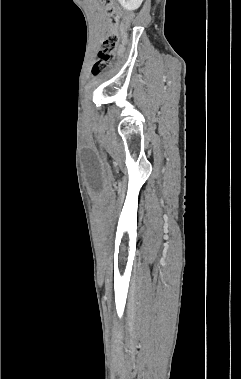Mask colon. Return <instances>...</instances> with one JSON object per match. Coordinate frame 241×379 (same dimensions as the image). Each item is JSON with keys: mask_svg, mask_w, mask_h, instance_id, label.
I'll return each mask as SVG.
<instances>
[{"mask_svg": "<svg viewBox=\"0 0 241 379\" xmlns=\"http://www.w3.org/2000/svg\"><path fill=\"white\" fill-rule=\"evenodd\" d=\"M105 6V11L112 23L123 21L127 30L133 29L132 20L135 19V14L131 13V9H117L114 0H101ZM120 43V33L117 30L111 31L103 40L101 48L98 52L97 61L93 67L94 74H99L104 71L114 60L117 47Z\"/></svg>", "mask_w": 241, "mask_h": 379, "instance_id": "1", "label": "colon"}]
</instances>
